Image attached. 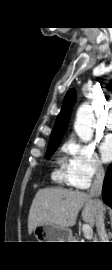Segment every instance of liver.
<instances>
[{"label":"liver","instance_id":"obj_1","mask_svg":"<svg viewBox=\"0 0 112 270\" xmlns=\"http://www.w3.org/2000/svg\"><path fill=\"white\" fill-rule=\"evenodd\" d=\"M82 208L83 221L94 226L98 209L88 193L62 188L39 189L30 207L28 232L31 234L39 225L69 228L75 225Z\"/></svg>","mask_w":112,"mask_h":270}]
</instances>
